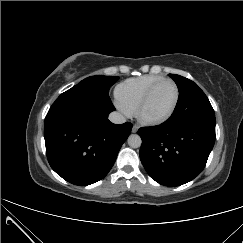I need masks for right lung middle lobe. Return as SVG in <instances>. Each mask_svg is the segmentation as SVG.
<instances>
[{
	"label": "right lung middle lobe",
	"mask_w": 243,
	"mask_h": 243,
	"mask_svg": "<svg viewBox=\"0 0 243 243\" xmlns=\"http://www.w3.org/2000/svg\"><path fill=\"white\" fill-rule=\"evenodd\" d=\"M118 79V76L96 75L85 78L77 86L90 87L102 93L108 94L110 86H112Z\"/></svg>",
	"instance_id": "obj_1"
}]
</instances>
